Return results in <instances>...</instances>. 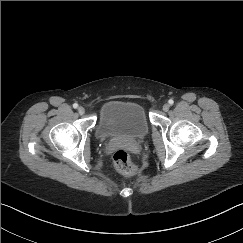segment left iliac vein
<instances>
[{"instance_id":"4c4485c4","label":"left iliac vein","mask_w":243,"mask_h":243,"mask_svg":"<svg viewBox=\"0 0 243 243\" xmlns=\"http://www.w3.org/2000/svg\"><path fill=\"white\" fill-rule=\"evenodd\" d=\"M169 108H170L169 104L166 103L163 105V111L167 112L169 110Z\"/></svg>"}]
</instances>
